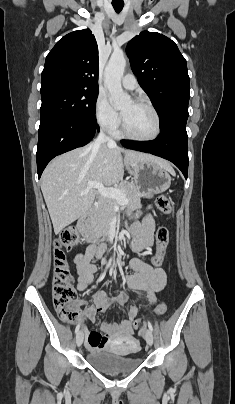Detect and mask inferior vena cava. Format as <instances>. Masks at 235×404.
Returning <instances> with one entry per match:
<instances>
[{
    "instance_id": "inferior-vena-cava-1",
    "label": "inferior vena cava",
    "mask_w": 235,
    "mask_h": 404,
    "mask_svg": "<svg viewBox=\"0 0 235 404\" xmlns=\"http://www.w3.org/2000/svg\"><path fill=\"white\" fill-rule=\"evenodd\" d=\"M106 143L115 145V142L111 138H109L103 130H101L96 140L93 142V150H96L101 144L106 145Z\"/></svg>"
}]
</instances>
